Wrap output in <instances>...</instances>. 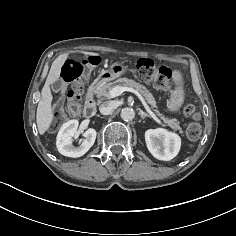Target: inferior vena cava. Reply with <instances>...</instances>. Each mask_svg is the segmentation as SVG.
<instances>
[{
	"instance_id": "inferior-vena-cava-1",
	"label": "inferior vena cava",
	"mask_w": 236,
	"mask_h": 236,
	"mask_svg": "<svg viewBox=\"0 0 236 236\" xmlns=\"http://www.w3.org/2000/svg\"><path fill=\"white\" fill-rule=\"evenodd\" d=\"M114 105L111 102H104L99 106V111L103 115H109L113 112Z\"/></svg>"
}]
</instances>
